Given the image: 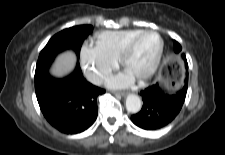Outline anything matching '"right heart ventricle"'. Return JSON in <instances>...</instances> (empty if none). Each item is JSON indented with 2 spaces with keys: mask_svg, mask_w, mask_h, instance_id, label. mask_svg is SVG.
Listing matches in <instances>:
<instances>
[{
  "mask_svg": "<svg viewBox=\"0 0 225 155\" xmlns=\"http://www.w3.org/2000/svg\"><path fill=\"white\" fill-rule=\"evenodd\" d=\"M141 31L143 30L125 29L100 32L94 38L95 48L117 61L126 44Z\"/></svg>",
  "mask_w": 225,
  "mask_h": 155,
  "instance_id": "1",
  "label": "right heart ventricle"
}]
</instances>
